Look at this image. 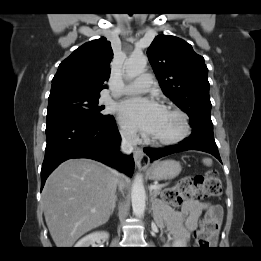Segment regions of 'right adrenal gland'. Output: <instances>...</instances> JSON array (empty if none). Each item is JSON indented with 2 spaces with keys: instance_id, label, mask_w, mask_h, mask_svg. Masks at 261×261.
Returning <instances> with one entry per match:
<instances>
[{
  "instance_id": "2a0ac1e0",
  "label": "right adrenal gland",
  "mask_w": 261,
  "mask_h": 261,
  "mask_svg": "<svg viewBox=\"0 0 261 261\" xmlns=\"http://www.w3.org/2000/svg\"><path fill=\"white\" fill-rule=\"evenodd\" d=\"M117 201H118V199H117V197H115L114 204H113V207H112V209H111V213H110V215L113 214L114 209L116 208V203H117Z\"/></svg>"
}]
</instances>
